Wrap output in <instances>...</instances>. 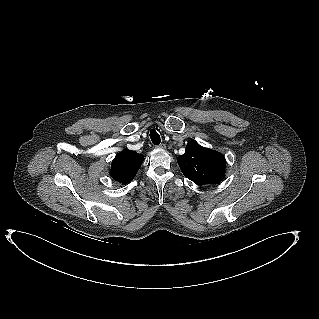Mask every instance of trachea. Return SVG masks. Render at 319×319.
I'll list each match as a JSON object with an SVG mask.
<instances>
[{"label":"trachea","mask_w":319,"mask_h":319,"mask_svg":"<svg viewBox=\"0 0 319 319\" xmlns=\"http://www.w3.org/2000/svg\"><path fill=\"white\" fill-rule=\"evenodd\" d=\"M150 138H151V141L154 145H159L160 142H161V138H160V135L157 133L156 130L152 129L150 131Z\"/></svg>","instance_id":"3493384b"}]
</instances>
